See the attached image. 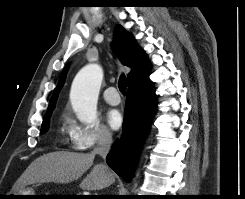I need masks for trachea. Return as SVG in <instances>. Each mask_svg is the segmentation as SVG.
<instances>
[{
  "label": "trachea",
  "mask_w": 245,
  "mask_h": 199,
  "mask_svg": "<svg viewBox=\"0 0 245 199\" xmlns=\"http://www.w3.org/2000/svg\"><path fill=\"white\" fill-rule=\"evenodd\" d=\"M126 86H127L126 77L124 75H122L119 79V82H118V88L122 94L126 93Z\"/></svg>",
  "instance_id": "trachea-1"
}]
</instances>
